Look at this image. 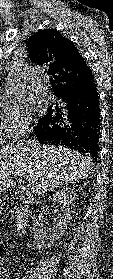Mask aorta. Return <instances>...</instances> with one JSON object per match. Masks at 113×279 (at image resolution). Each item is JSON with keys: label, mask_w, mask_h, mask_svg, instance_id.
I'll return each mask as SVG.
<instances>
[{"label": "aorta", "mask_w": 113, "mask_h": 279, "mask_svg": "<svg viewBox=\"0 0 113 279\" xmlns=\"http://www.w3.org/2000/svg\"><path fill=\"white\" fill-rule=\"evenodd\" d=\"M10 93L13 97H16L18 95V88L17 87L10 88Z\"/></svg>", "instance_id": "1"}]
</instances>
